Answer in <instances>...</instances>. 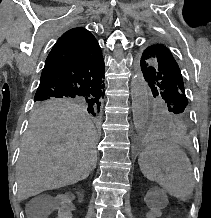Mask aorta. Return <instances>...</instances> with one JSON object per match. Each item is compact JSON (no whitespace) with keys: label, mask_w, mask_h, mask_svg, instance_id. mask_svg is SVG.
<instances>
[{"label":"aorta","mask_w":211,"mask_h":218,"mask_svg":"<svg viewBox=\"0 0 211 218\" xmlns=\"http://www.w3.org/2000/svg\"><path fill=\"white\" fill-rule=\"evenodd\" d=\"M132 112L135 128H144L149 110V89L141 75L138 73L131 82Z\"/></svg>","instance_id":"obj_1"}]
</instances>
